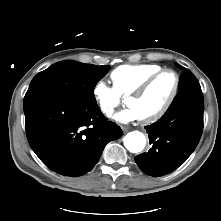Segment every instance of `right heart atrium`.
<instances>
[{
  "instance_id": "1",
  "label": "right heart atrium",
  "mask_w": 221,
  "mask_h": 221,
  "mask_svg": "<svg viewBox=\"0 0 221 221\" xmlns=\"http://www.w3.org/2000/svg\"><path fill=\"white\" fill-rule=\"evenodd\" d=\"M92 94L100 111L106 117H111L121 101L116 89L109 86L105 81L100 80L94 85Z\"/></svg>"
}]
</instances>
